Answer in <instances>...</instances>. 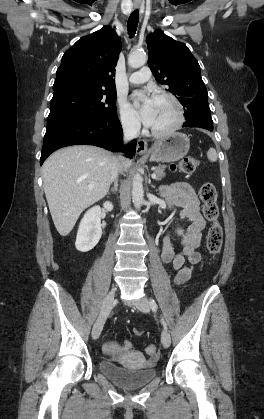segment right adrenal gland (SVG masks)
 Masks as SVG:
<instances>
[{
    "instance_id": "1",
    "label": "right adrenal gland",
    "mask_w": 264,
    "mask_h": 419,
    "mask_svg": "<svg viewBox=\"0 0 264 419\" xmlns=\"http://www.w3.org/2000/svg\"><path fill=\"white\" fill-rule=\"evenodd\" d=\"M117 190H118V183H117V182H115V183H114V187H113V188H111V192L115 194V193L117 192Z\"/></svg>"
}]
</instances>
